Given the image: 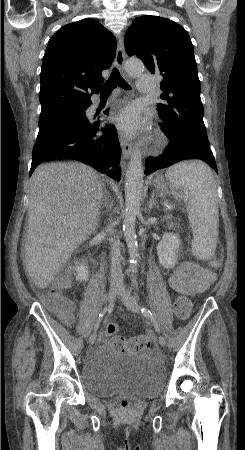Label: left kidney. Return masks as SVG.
I'll use <instances>...</instances> for the list:
<instances>
[{"mask_svg": "<svg viewBox=\"0 0 245 450\" xmlns=\"http://www.w3.org/2000/svg\"><path fill=\"white\" fill-rule=\"evenodd\" d=\"M169 228L173 227V223H168ZM180 247V239L172 233H165L162 240L157 245V255L160 264L167 269L174 268L178 256L177 252Z\"/></svg>", "mask_w": 245, "mask_h": 450, "instance_id": "left-kidney-1", "label": "left kidney"}]
</instances>
